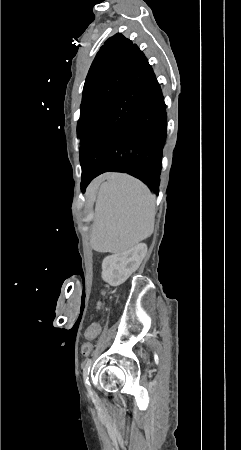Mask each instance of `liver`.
I'll return each mask as SVG.
<instances>
[{"instance_id":"1","label":"liver","mask_w":241,"mask_h":450,"mask_svg":"<svg viewBox=\"0 0 241 450\" xmlns=\"http://www.w3.org/2000/svg\"><path fill=\"white\" fill-rule=\"evenodd\" d=\"M111 174H104V176H99V178H97V180H94V184H96V182H102V180H109Z\"/></svg>"}]
</instances>
